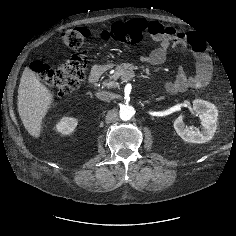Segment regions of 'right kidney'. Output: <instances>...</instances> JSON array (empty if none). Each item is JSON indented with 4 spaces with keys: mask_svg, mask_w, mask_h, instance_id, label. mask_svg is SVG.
I'll return each mask as SVG.
<instances>
[{
    "mask_svg": "<svg viewBox=\"0 0 236 236\" xmlns=\"http://www.w3.org/2000/svg\"><path fill=\"white\" fill-rule=\"evenodd\" d=\"M77 119L72 117H63L60 121L56 124L55 129L56 131L64 134L69 135L71 134L77 126Z\"/></svg>",
    "mask_w": 236,
    "mask_h": 236,
    "instance_id": "obj_1",
    "label": "right kidney"
}]
</instances>
